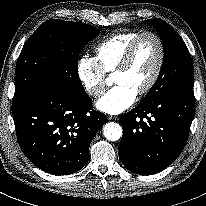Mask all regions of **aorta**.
<instances>
[{"instance_id":"762f6f07","label":"aorta","mask_w":206,"mask_h":206,"mask_svg":"<svg viewBox=\"0 0 206 206\" xmlns=\"http://www.w3.org/2000/svg\"><path fill=\"white\" fill-rule=\"evenodd\" d=\"M103 134L109 141H117L122 136V127L115 122H108L103 127Z\"/></svg>"}]
</instances>
